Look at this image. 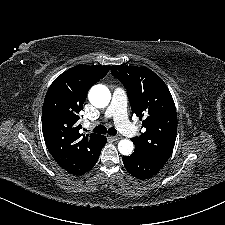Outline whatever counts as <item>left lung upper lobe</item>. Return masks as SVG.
Segmentation results:
<instances>
[{"label":"left lung upper lobe","mask_w":225,"mask_h":225,"mask_svg":"<svg viewBox=\"0 0 225 225\" xmlns=\"http://www.w3.org/2000/svg\"><path fill=\"white\" fill-rule=\"evenodd\" d=\"M111 72L127 89L131 109L146 129L140 137L131 139L134 152L166 163L177 134V113L168 87L145 67L113 65Z\"/></svg>","instance_id":"left-lung-upper-lobe-1"}]
</instances>
